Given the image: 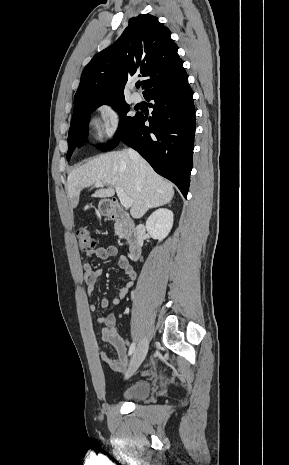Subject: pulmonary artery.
<instances>
[{"label":"pulmonary artery","mask_w":289,"mask_h":465,"mask_svg":"<svg viewBox=\"0 0 289 465\" xmlns=\"http://www.w3.org/2000/svg\"><path fill=\"white\" fill-rule=\"evenodd\" d=\"M132 100L135 102V103H139L141 101V96L139 93L137 92H133L132 93Z\"/></svg>","instance_id":"pulmonary-artery-1"}]
</instances>
